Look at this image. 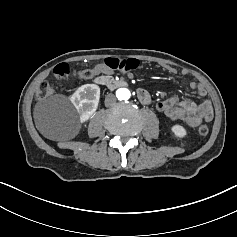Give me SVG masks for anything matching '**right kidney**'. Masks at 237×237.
Here are the masks:
<instances>
[{"instance_id": "1", "label": "right kidney", "mask_w": 237, "mask_h": 237, "mask_svg": "<svg viewBox=\"0 0 237 237\" xmlns=\"http://www.w3.org/2000/svg\"><path fill=\"white\" fill-rule=\"evenodd\" d=\"M100 99V88L96 84L79 87L70 100L80 116V122L87 121L96 111Z\"/></svg>"}]
</instances>
